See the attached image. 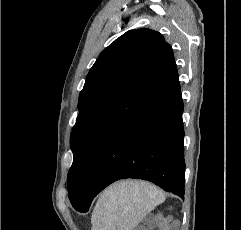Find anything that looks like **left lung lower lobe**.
Returning <instances> with one entry per match:
<instances>
[{
    "label": "left lung lower lobe",
    "mask_w": 241,
    "mask_h": 230,
    "mask_svg": "<svg viewBox=\"0 0 241 230\" xmlns=\"http://www.w3.org/2000/svg\"><path fill=\"white\" fill-rule=\"evenodd\" d=\"M183 100L176 72L103 146L73 207L87 212L93 198L119 179H144L184 196Z\"/></svg>",
    "instance_id": "left-lung-lower-lobe-1"
}]
</instances>
